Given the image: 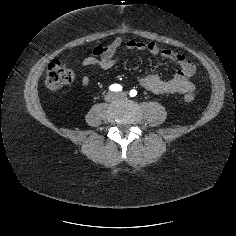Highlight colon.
Instances as JSON below:
<instances>
[{"label": "colon", "instance_id": "colon-1", "mask_svg": "<svg viewBox=\"0 0 236 236\" xmlns=\"http://www.w3.org/2000/svg\"><path fill=\"white\" fill-rule=\"evenodd\" d=\"M101 47L103 46H98L95 48L94 53L96 55L102 52ZM73 78V72L68 69L61 61L54 60L48 65L46 72V86L50 90L56 91L69 85L73 81ZM185 100L187 102H192L194 100V96L188 93L185 95Z\"/></svg>", "mask_w": 236, "mask_h": 236}]
</instances>
